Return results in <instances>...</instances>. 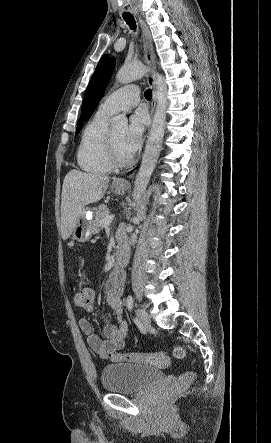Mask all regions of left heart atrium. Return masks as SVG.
<instances>
[{
  "instance_id": "1",
  "label": "left heart atrium",
  "mask_w": 271,
  "mask_h": 443,
  "mask_svg": "<svg viewBox=\"0 0 271 443\" xmlns=\"http://www.w3.org/2000/svg\"><path fill=\"white\" fill-rule=\"evenodd\" d=\"M148 124L149 118L145 110L139 109L130 115L122 141V148L129 156L136 153L143 145Z\"/></svg>"
}]
</instances>
